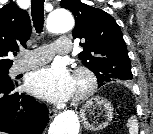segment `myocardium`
Wrapping results in <instances>:
<instances>
[{"label":"myocardium","instance_id":"1","mask_svg":"<svg viewBox=\"0 0 153 134\" xmlns=\"http://www.w3.org/2000/svg\"><path fill=\"white\" fill-rule=\"evenodd\" d=\"M74 78L83 81V87L72 98L74 102H80L88 98L95 91L98 80L94 71L87 66L76 67Z\"/></svg>","mask_w":153,"mask_h":134}]
</instances>
